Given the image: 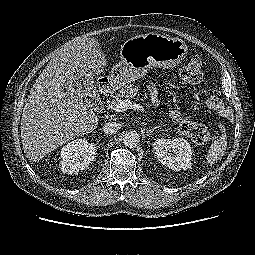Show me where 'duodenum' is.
Returning <instances> with one entry per match:
<instances>
[{
  "label": "duodenum",
  "mask_w": 255,
  "mask_h": 255,
  "mask_svg": "<svg viewBox=\"0 0 255 255\" xmlns=\"http://www.w3.org/2000/svg\"><path fill=\"white\" fill-rule=\"evenodd\" d=\"M112 90V84L109 80H100L99 82V91L102 95H107Z\"/></svg>",
  "instance_id": "1"
}]
</instances>
